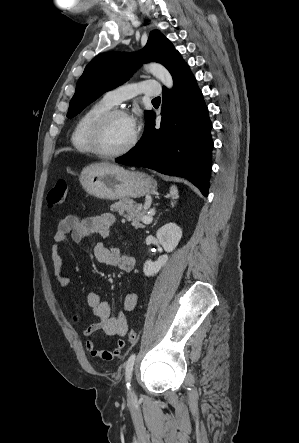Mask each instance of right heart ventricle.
Returning <instances> with one entry per match:
<instances>
[{
	"label": "right heart ventricle",
	"mask_w": 299,
	"mask_h": 443,
	"mask_svg": "<svg viewBox=\"0 0 299 443\" xmlns=\"http://www.w3.org/2000/svg\"><path fill=\"white\" fill-rule=\"evenodd\" d=\"M113 105L104 98L92 104L77 120L71 134V143L80 153H93L89 143V132L95 119L103 112L111 109Z\"/></svg>",
	"instance_id": "right-heart-ventricle-1"
}]
</instances>
